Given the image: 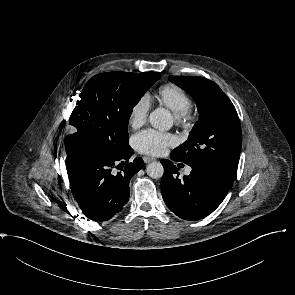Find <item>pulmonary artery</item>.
Listing matches in <instances>:
<instances>
[{"instance_id":"e3ab8cb5","label":"pulmonary artery","mask_w":295,"mask_h":295,"mask_svg":"<svg viewBox=\"0 0 295 295\" xmlns=\"http://www.w3.org/2000/svg\"><path fill=\"white\" fill-rule=\"evenodd\" d=\"M190 171H191V169H190V168H187L186 171H185V173H186V174H189Z\"/></svg>"}]
</instances>
